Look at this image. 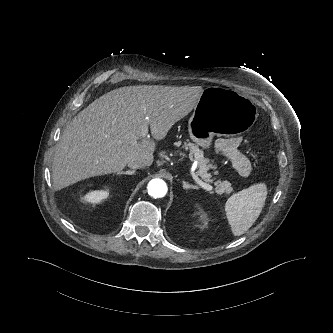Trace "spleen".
Returning <instances> with one entry per match:
<instances>
[{"mask_svg":"<svg viewBox=\"0 0 333 333\" xmlns=\"http://www.w3.org/2000/svg\"><path fill=\"white\" fill-rule=\"evenodd\" d=\"M266 196L267 187L260 183L228 198L225 212L234 236L244 234L253 225L262 211Z\"/></svg>","mask_w":333,"mask_h":333,"instance_id":"3e777b00","label":"spleen"}]
</instances>
